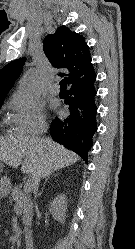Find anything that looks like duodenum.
<instances>
[{"mask_svg":"<svg viewBox=\"0 0 135 249\" xmlns=\"http://www.w3.org/2000/svg\"><path fill=\"white\" fill-rule=\"evenodd\" d=\"M25 244L30 248L33 249L34 247V238H33V232L29 231L27 233V239L25 241Z\"/></svg>","mask_w":135,"mask_h":249,"instance_id":"obj_1","label":"duodenum"}]
</instances>
